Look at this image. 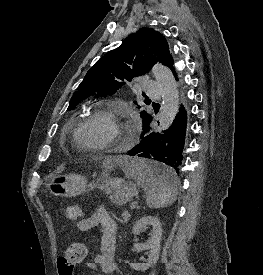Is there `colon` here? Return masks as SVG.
<instances>
[{"label": "colon", "instance_id": "colon-1", "mask_svg": "<svg viewBox=\"0 0 263 275\" xmlns=\"http://www.w3.org/2000/svg\"><path fill=\"white\" fill-rule=\"evenodd\" d=\"M65 216L75 220L81 216V208L77 204H68L65 208ZM87 250L83 243L71 244L65 254L58 258L57 264L60 275H73L76 265L82 263L86 257Z\"/></svg>", "mask_w": 263, "mask_h": 275}]
</instances>
